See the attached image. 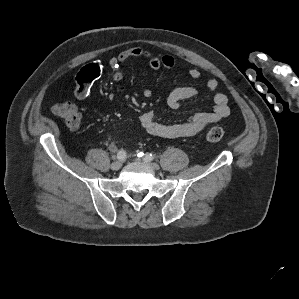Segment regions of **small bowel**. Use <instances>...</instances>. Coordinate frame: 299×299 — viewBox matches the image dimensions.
Returning <instances> with one entry per match:
<instances>
[{"label":"small bowel","instance_id":"c3829d8e","mask_svg":"<svg viewBox=\"0 0 299 299\" xmlns=\"http://www.w3.org/2000/svg\"><path fill=\"white\" fill-rule=\"evenodd\" d=\"M131 58H144L147 60L149 67L154 75L161 68H172L175 65V60L170 55L157 56L148 50L141 47H132L124 50L117 56L110 59L109 64L112 69V79L115 82L122 81L124 77L123 65ZM101 73V68L98 63H91L84 66L76 76L75 97L82 101L90 97L91 86L98 79ZM192 79L201 77V72L192 68L188 72ZM218 82L215 79L207 81V89L214 92L217 89ZM119 93L123 92V87L119 86ZM152 89L147 87L143 91L145 97L152 96ZM198 94V89L194 86H181L173 89L168 98V105L177 109L181 103ZM213 109L211 111L198 112L192 115L189 119L180 123H162L157 118L154 112L148 111L140 115L139 121L141 127L150 135L163 138H180L194 136L202 131L207 125L220 121L230 114L228 97L220 92L213 95ZM111 151H115L114 145L110 146Z\"/></svg>","mask_w":299,"mask_h":299}]
</instances>
